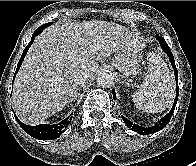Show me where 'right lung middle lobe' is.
I'll return each mask as SVG.
<instances>
[{
  "instance_id": "right-lung-middle-lobe-1",
  "label": "right lung middle lobe",
  "mask_w": 196,
  "mask_h": 166,
  "mask_svg": "<svg viewBox=\"0 0 196 166\" xmlns=\"http://www.w3.org/2000/svg\"><path fill=\"white\" fill-rule=\"evenodd\" d=\"M52 24V22L46 23L42 26H40L39 28L36 29V31H43V29H45L46 27L50 26Z\"/></svg>"
}]
</instances>
